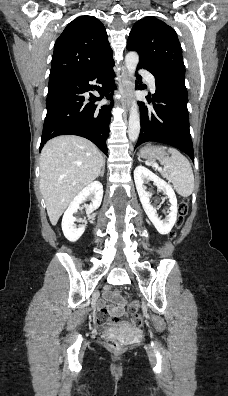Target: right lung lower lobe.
Here are the masks:
<instances>
[{
	"label": "right lung lower lobe",
	"mask_w": 228,
	"mask_h": 396,
	"mask_svg": "<svg viewBox=\"0 0 228 396\" xmlns=\"http://www.w3.org/2000/svg\"><path fill=\"white\" fill-rule=\"evenodd\" d=\"M114 61L87 74L65 76L49 80L47 94V114L43 126L40 149L53 137L59 135H78L91 140L102 152L107 154L106 140L112 105L99 107L95 101L103 97L111 99L116 89L114 83ZM96 81L101 86L89 84ZM96 89L100 97L92 94L85 103L84 93Z\"/></svg>",
	"instance_id": "98d812e1"
}]
</instances>
